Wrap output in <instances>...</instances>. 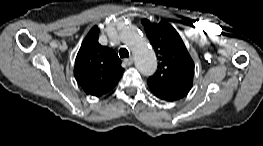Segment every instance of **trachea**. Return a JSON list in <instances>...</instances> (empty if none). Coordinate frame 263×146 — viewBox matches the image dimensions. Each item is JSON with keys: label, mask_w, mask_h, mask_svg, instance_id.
Listing matches in <instances>:
<instances>
[{"label": "trachea", "mask_w": 263, "mask_h": 146, "mask_svg": "<svg viewBox=\"0 0 263 146\" xmlns=\"http://www.w3.org/2000/svg\"><path fill=\"white\" fill-rule=\"evenodd\" d=\"M119 55L121 58H125V57L127 58V57H129V52L126 48H121L119 50Z\"/></svg>", "instance_id": "1"}]
</instances>
